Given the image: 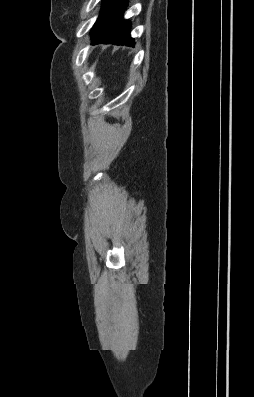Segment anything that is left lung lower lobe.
I'll return each mask as SVG.
<instances>
[{"instance_id":"left-lung-lower-lobe-1","label":"left lung lower lobe","mask_w":254,"mask_h":397,"mask_svg":"<svg viewBox=\"0 0 254 397\" xmlns=\"http://www.w3.org/2000/svg\"><path fill=\"white\" fill-rule=\"evenodd\" d=\"M127 0H109L102 20L93 31L92 44H115L134 46V39L130 36V23L123 20V11Z\"/></svg>"}]
</instances>
